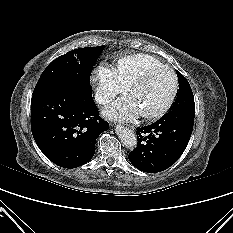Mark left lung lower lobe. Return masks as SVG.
I'll return each mask as SVG.
<instances>
[{"instance_id": "0a47b994", "label": "left lung lower lobe", "mask_w": 233, "mask_h": 233, "mask_svg": "<svg viewBox=\"0 0 233 233\" xmlns=\"http://www.w3.org/2000/svg\"><path fill=\"white\" fill-rule=\"evenodd\" d=\"M194 121L164 115L155 123L137 128V147L129 153L139 170L156 173L173 165L184 152Z\"/></svg>"}]
</instances>
